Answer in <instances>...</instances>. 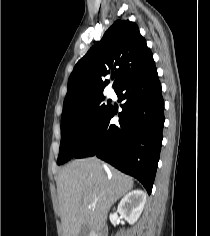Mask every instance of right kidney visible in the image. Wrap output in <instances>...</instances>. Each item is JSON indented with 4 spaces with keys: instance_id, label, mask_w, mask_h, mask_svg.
I'll return each mask as SVG.
<instances>
[{
    "instance_id": "ca27d5eb",
    "label": "right kidney",
    "mask_w": 210,
    "mask_h": 236,
    "mask_svg": "<svg viewBox=\"0 0 210 236\" xmlns=\"http://www.w3.org/2000/svg\"><path fill=\"white\" fill-rule=\"evenodd\" d=\"M145 202L146 194L142 190L136 189L123 197L117 211L129 224H134L140 217Z\"/></svg>"
}]
</instances>
